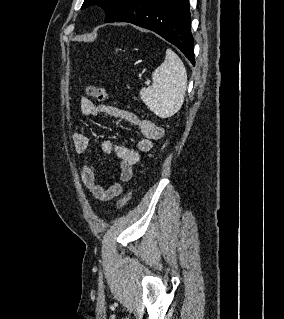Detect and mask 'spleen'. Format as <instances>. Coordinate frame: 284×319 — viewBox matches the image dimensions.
Returning a JSON list of instances; mask_svg holds the SVG:
<instances>
[{
	"mask_svg": "<svg viewBox=\"0 0 284 319\" xmlns=\"http://www.w3.org/2000/svg\"><path fill=\"white\" fill-rule=\"evenodd\" d=\"M152 85L140 90L145 105L157 116L168 118L181 108L187 87V73L181 59L171 49L152 73Z\"/></svg>",
	"mask_w": 284,
	"mask_h": 319,
	"instance_id": "3e777b00",
	"label": "spleen"
}]
</instances>
